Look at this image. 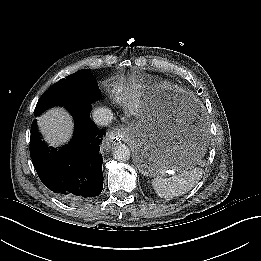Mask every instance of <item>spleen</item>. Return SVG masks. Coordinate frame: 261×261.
<instances>
[{
  "instance_id": "spleen-1",
  "label": "spleen",
  "mask_w": 261,
  "mask_h": 261,
  "mask_svg": "<svg viewBox=\"0 0 261 261\" xmlns=\"http://www.w3.org/2000/svg\"><path fill=\"white\" fill-rule=\"evenodd\" d=\"M199 164L204 165V162L200 160ZM202 173L201 168L194 167L168 178L157 176L153 179L152 186L159 197L171 199L190 191L199 182Z\"/></svg>"
}]
</instances>
